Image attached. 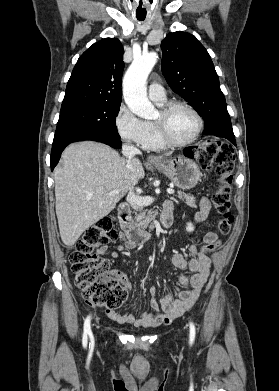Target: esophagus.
<instances>
[{"mask_svg":"<svg viewBox=\"0 0 279 391\" xmlns=\"http://www.w3.org/2000/svg\"><path fill=\"white\" fill-rule=\"evenodd\" d=\"M147 161L148 162H156V161H158V158L155 157V156L150 155V156L147 157Z\"/></svg>","mask_w":279,"mask_h":391,"instance_id":"obj_1","label":"esophagus"}]
</instances>
